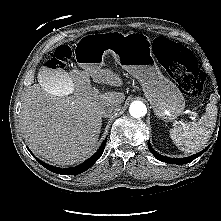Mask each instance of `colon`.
Segmentation results:
<instances>
[{
  "instance_id": "colon-1",
  "label": "colon",
  "mask_w": 221,
  "mask_h": 221,
  "mask_svg": "<svg viewBox=\"0 0 221 221\" xmlns=\"http://www.w3.org/2000/svg\"><path fill=\"white\" fill-rule=\"evenodd\" d=\"M153 50L185 95L197 98L203 93L206 76L198 67L197 60L189 49L174 44L164 37H157L153 42ZM71 56V48L60 45L48 62V66L63 69Z\"/></svg>"
}]
</instances>
